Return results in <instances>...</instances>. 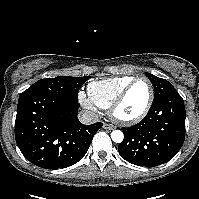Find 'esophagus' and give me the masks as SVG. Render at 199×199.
I'll use <instances>...</instances> for the list:
<instances>
[{"label": "esophagus", "instance_id": "esophagus-1", "mask_svg": "<svg viewBox=\"0 0 199 199\" xmlns=\"http://www.w3.org/2000/svg\"><path fill=\"white\" fill-rule=\"evenodd\" d=\"M103 128L104 129H108V130H113V129H115V126L107 124V123H104L103 124Z\"/></svg>", "mask_w": 199, "mask_h": 199}]
</instances>
